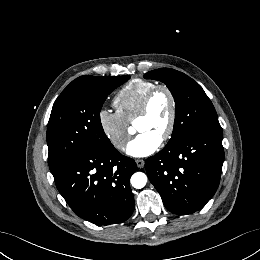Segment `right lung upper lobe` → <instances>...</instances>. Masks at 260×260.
I'll use <instances>...</instances> for the list:
<instances>
[{
	"label": "right lung upper lobe",
	"mask_w": 260,
	"mask_h": 260,
	"mask_svg": "<svg viewBox=\"0 0 260 260\" xmlns=\"http://www.w3.org/2000/svg\"><path fill=\"white\" fill-rule=\"evenodd\" d=\"M89 77H91V76H81V77L75 79L74 81H72L69 85L76 84L78 82L84 81V80H86Z\"/></svg>",
	"instance_id": "obj_1"
}]
</instances>
